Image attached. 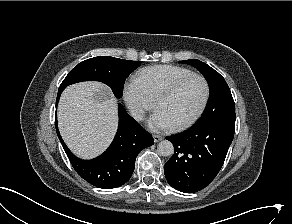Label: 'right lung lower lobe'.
<instances>
[{"instance_id": "1", "label": "right lung lower lobe", "mask_w": 292, "mask_h": 224, "mask_svg": "<svg viewBox=\"0 0 292 224\" xmlns=\"http://www.w3.org/2000/svg\"><path fill=\"white\" fill-rule=\"evenodd\" d=\"M64 89L59 87L56 105ZM118 111L119 126L113 142L103 154L92 160L74 156L61 138L57 120L55 123L58 138L73 168L84 180L98 188L111 189L126 183L132 176L138 153L154 144L151 134L129 116L121 104Z\"/></svg>"}]
</instances>
